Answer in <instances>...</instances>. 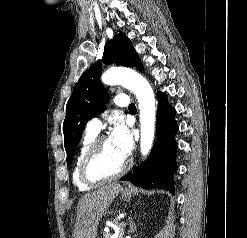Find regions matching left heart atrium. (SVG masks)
Here are the masks:
<instances>
[{
	"label": "left heart atrium",
	"mask_w": 247,
	"mask_h": 238,
	"mask_svg": "<svg viewBox=\"0 0 247 238\" xmlns=\"http://www.w3.org/2000/svg\"><path fill=\"white\" fill-rule=\"evenodd\" d=\"M110 141L121 155L126 158L129 156L133 148V140L130 131L123 123L116 124L111 132Z\"/></svg>",
	"instance_id": "39dd6f15"
}]
</instances>
